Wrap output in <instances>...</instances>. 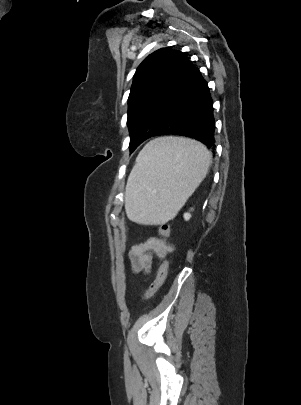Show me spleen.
Masks as SVG:
<instances>
[{"label":"spleen","instance_id":"1","mask_svg":"<svg viewBox=\"0 0 301 405\" xmlns=\"http://www.w3.org/2000/svg\"><path fill=\"white\" fill-rule=\"evenodd\" d=\"M211 159L195 140L169 136L147 143L127 181L128 218L141 224L173 219L206 177Z\"/></svg>","mask_w":301,"mask_h":405}]
</instances>
